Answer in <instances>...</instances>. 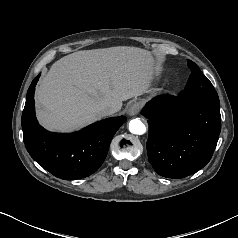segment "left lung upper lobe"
I'll use <instances>...</instances> for the list:
<instances>
[{
  "label": "left lung upper lobe",
  "mask_w": 238,
  "mask_h": 238,
  "mask_svg": "<svg viewBox=\"0 0 238 238\" xmlns=\"http://www.w3.org/2000/svg\"><path fill=\"white\" fill-rule=\"evenodd\" d=\"M188 66L191 69V75L185 86V90L182 95L185 97L204 96L210 98H218L211 82L200 71L197 64L193 61H188Z\"/></svg>",
  "instance_id": "1"
}]
</instances>
